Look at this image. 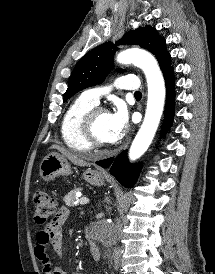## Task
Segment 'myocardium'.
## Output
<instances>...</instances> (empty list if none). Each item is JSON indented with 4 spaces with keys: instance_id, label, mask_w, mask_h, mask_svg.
<instances>
[{
    "instance_id": "myocardium-1",
    "label": "myocardium",
    "mask_w": 215,
    "mask_h": 274,
    "mask_svg": "<svg viewBox=\"0 0 215 274\" xmlns=\"http://www.w3.org/2000/svg\"><path fill=\"white\" fill-rule=\"evenodd\" d=\"M107 112L105 108L100 106H94L86 114L83 116L81 121V131L84 139L90 145V147L94 148H103L109 145V142H105L100 140L94 130V125L96 118L99 113Z\"/></svg>"
}]
</instances>
